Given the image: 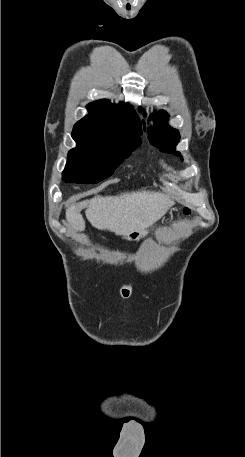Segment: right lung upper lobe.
I'll use <instances>...</instances> for the list:
<instances>
[{
    "mask_svg": "<svg viewBox=\"0 0 245 457\" xmlns=\"http://www.w3.org/2000/svg\"><path fill=\"white\" fill-rule=\"evenodd\" d=\"M88 115L76 124L100 125L111 127H132L141 130L139 118L129 104H111L103 99L87 105Z\"/></svg>",
    "mask_w": 245,
    "mask_h": 457,
    "instance_id": "obj_1",
    "label": "right lung upper lobe"
}]
</instances>
